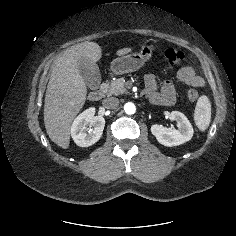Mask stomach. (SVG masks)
Returning a JSON list of instances; mask_svg holds the SVG:
<instances>
[{"mask_svg":"<svg viewBox=\"0 0 236 236\" xmlns=\"http://www.w3.org/2000/svg\"><path fill=\"white\" fill-rule=\"evenodd\" d=\"M153 50L152 45H143L139 52L118 57L111 62V71L116 75L134 72L151 58Z\"/></svg>","mask_w":236,"mask_h":236,"instance_id":"stomach-1","label":"stomach"}]
</instances>
